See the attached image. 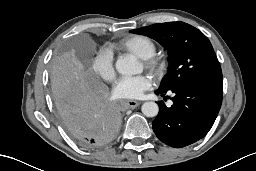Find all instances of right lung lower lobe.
<instances>
[{
    "instance_id": "1",
    "label": "right lung lower lobe",
    "mask_w": 256,
    "mask_h": 171,
    "mask_svg": "<svg viewBox=\"0 0 256 171\" xmlns=\"http://www.w3.org/2000/svg\"><path fill=\"white\" fill-rule=\"evenodd\" d=\"M55 105L66 130L83 147L106 145L119 131V108L109 100L108 89L101 83L91 84Z\"/></svg>"
}]
</instances>
